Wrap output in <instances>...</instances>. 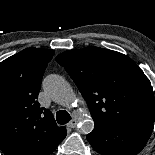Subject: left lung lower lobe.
<instances>
[{"mask_svg":"<svg viewBox=\"0 0 155 155\" xmlns=\"http://www.w3.org/2000/svg\"><path fill=\"white\" fill-rule=\"evenodd\" d=\"M153 130L152 122L99 124L87 140L101 155H136L146 145Z\"/></svg>","mask_w":155,"mask_h":155,"instance_id":"obj_1","label":"left lung lower lobe"}]
</instances>
